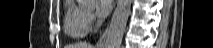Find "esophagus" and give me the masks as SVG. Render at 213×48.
Instances as JSON below:
<instances>
[{"instance_id": "obj_1", "label": "esophagus", "mask_w": 213, "mask_h": 48, "mask_svg": "<svg viewBox=\"0 0 213 48\" xmlns=\"http://www.w3.org/2000/svg\"><path fill=\"white\" fill-rule=\"evenodd\" d=\"M106 35H107V29L105 30L103 35L100 37V39H99V41L97 43V48H104Z\"/></svg>"}]
</instances>
